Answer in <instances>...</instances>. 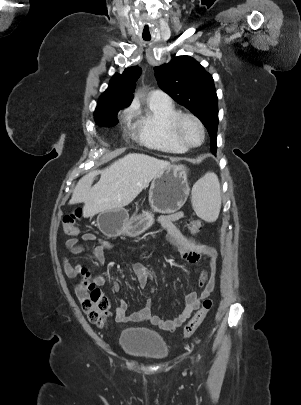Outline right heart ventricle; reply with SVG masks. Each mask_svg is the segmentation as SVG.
<instances>
[{
	"label": "right heart ventricle",
	"mask_w": 301,
	"mask_h": 405,
	"mask_svg": "<svg viewBox=\"0 0 301 405\" xmlns=\"http://www.w3.org/2000/svg\"><path fill=\"white\" fill-rule=\"evenodd\" d=\"M179 114L172 104L150 102L143 111L129 113L131 130L145 146L166 153H184L188 150L173 134L171 124Z\"/></svg>",
	"instance_id": "obj_1"
}]
</instances>
